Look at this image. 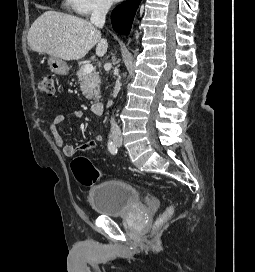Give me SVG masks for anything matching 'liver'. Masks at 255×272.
<instances>
[{
  "mask_svg": "<svg viewBox=\"0 0 255 272\" xmlns=\"http://www.w3.org/2000/svg\"><path fill=\"white\" fill-rule=\"evenodd\" d=\"M27 42L35 52L62 60L82 59L95 45L103 56L108 44L91 22L66 13L46 11L31 25Z\"/></svg>",
  "mask_w": 255,
  "mask_h": 272,
  "instance_id": "6515ba94",
  "label": "liver"
}]
</instances>
